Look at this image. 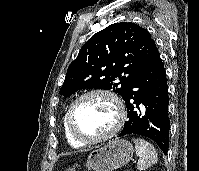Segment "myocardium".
<instances>
[{"instance_id":"myocardium-1","label":"myocardium","mask_w":199,"mask_h":171,"mask_svg":"<svg viewBox=\"0 0 199 171\" xmlns=\"http://www.w3.org/2000/svg\"><path fill=\"white\" fill-rule=\"evenodd\" d=\"M95 95L107 97L109 100L112 101V103L115 106L117 119L113 128L106 134L98 137H85L81 135L74 126L73 123L74 111L80 101ZM66 120H67L68 130L74 139L83 144H96L112 138L120 131L126 120V108L122 99L115 92L103 88H94L85 91L84 93L80 94L78 97H76L73 100V102L70 104L68 108L66 114Z\"/></svg>"}]
</instances>
